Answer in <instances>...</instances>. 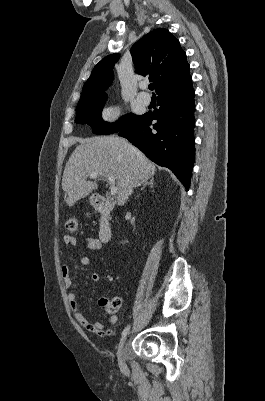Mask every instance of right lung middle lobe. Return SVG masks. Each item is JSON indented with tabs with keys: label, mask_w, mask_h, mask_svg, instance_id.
<instances>
[{
	"label": "right lung middle lobe",
	"mask_w": 265,
	"mask_h": 401,
	"mask_svg": "<svg viewBox=\"0 0 265 401\" xmlns=\"http://www.w3.org/2000/svg\"><path fill=\"white\" fill-rule=\"evenodd\" d=\"M107 95H100L77 105L76 123L88 124L95 134H111L126 129L142 119V115L127 114L115 123L104 122L101 111Z\"/></svg>",
	"instance_id": "right-lung-middle-lobe-1"
}]
</instances>
